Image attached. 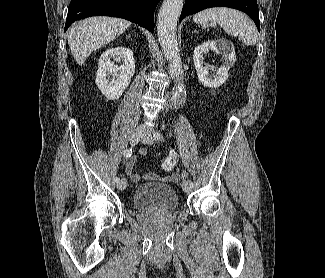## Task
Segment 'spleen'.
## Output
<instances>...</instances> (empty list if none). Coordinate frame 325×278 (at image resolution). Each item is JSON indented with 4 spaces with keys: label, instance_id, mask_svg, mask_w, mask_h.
<instances>
[{
    "label": "spleen",
    "instance_id": "1",
    "mask_svg": "<svg viewBox=\"0 0 325 278\" xmlns=\"http://www.w3.org/2000/svg\"><path fill=\"white\" fill-rule=\"evenodd\" d=\"M193 21L201 24L203 28L221 25L229 35H238L243 43L248 46L255 45L257 42V31L252 22L241 12L226 8L215 7L205 9L194 15Z\"/></svg>",
    "mask_w": 325,
    "mask_h": 278
}]
</instances>
